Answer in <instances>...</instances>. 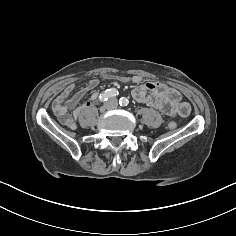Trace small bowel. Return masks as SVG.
Returning <instances> with one entry per match:
<instances>
[{
  "mask_svg": "<svg viewBox=\"0 0 236 236\" xmlns=\"http://www.w3.org/2000/svg\"><path fill=\"white\" fill-rule=\"evenodd\" d=\"M119 80L123 83L137 84V87L132 91L134 100L157 109L165 115L186 117L191 111L190 105L182 100L179 91L173 87L159 82L145 81L140 75L121 76ZM97 83L96 79H92L76 93H73L74 85L68 84L57 95L52 108L60 124L70 129L75 128L76 120L90 105V102L82 106H78V104ZM97 98L98 94L93 93L90 96V101H95Z\"/></svg>",
  "mask_w": 236,
  "mask_h": 236,
  "instance_id": "1",
  "label": "small bowel"
}]
</instances>
